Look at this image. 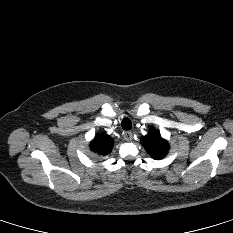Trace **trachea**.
<instances>
[{
	"label": "trachea",
	"instance_id": "1",
	"mask_svg": "<svg viewBox=\"0 0 233 233\" xmlns=\"http://www.w3.org/2000/svg\"><path fill=\"white\" fill-rule=\"evenodd\" d=\"M121 125H122V128L124 130H131L132 129V122H131V120L129 118H124L122 120Z\"/></svg>",
	"mask_w": 233,
	"mask_h": 233
}]
</instances>
